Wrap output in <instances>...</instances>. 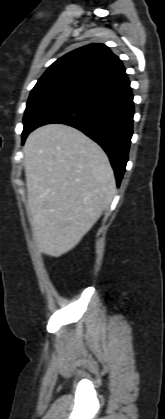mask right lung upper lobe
I'll return each instance as SVG.
<instances>
[{
	"label": "right lung upper lobe",
	"instance_id": "cb5924a9",
	"mask_svg": "<svg viewBox=\"0 0 165 419\" xmlns=\"http://www.w3.org/2000/svg\"><path fill=\"white\" fill-rule=\"evenodd\" d=\"M126 76L120 59L107 46L90 44L55 61L33 90L63 87L89 94Z\"/></svg>",
	"mask_w": 165,
	"mask_h": 419
}]
</instances>
